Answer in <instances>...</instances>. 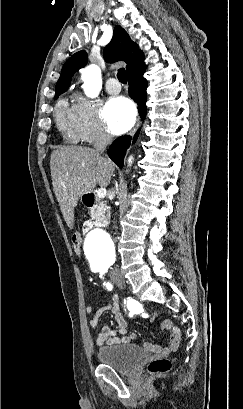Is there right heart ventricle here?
<instances>
[{
	"mask_svg": "<svg viewBox=\"0 0 243 409\" xmlns=\"http://www.w3.org/2000/svg\"><path fill=\"white\" fill-rule=\"evenodd\" d=\"M74 105L68 99H61L56 106V123L64 137L72 142L79 140L74 125Z\"/></svg>",
	"mask_w": 243,
	"mask_h": 409,
	"instance_id": "right-heart-ventricle-1",
	"label": "right heart ventricle"
}]
</instances>
